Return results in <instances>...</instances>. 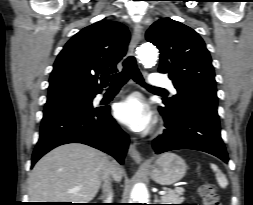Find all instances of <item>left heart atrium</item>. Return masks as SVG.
I'll return each mask as SVG.
<instances>
[{
	"mask_svg": "<svg viewBox=\"0 0 253 205\" xmlns=\"http://www.w3.org/2000/svg\"><path fill=\"white\" fill-rule=\"evenodd\" d=\"M116 118L136 132L147 129L153 120V114L142 97L133 94L115 107Z\"/></svg>",
	"mask_w": 253,
	"mask_h": 205,
	"instance_id": "39dd6f15",
	"label": "left heart atrium"
}]
</instances>
